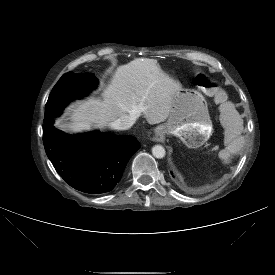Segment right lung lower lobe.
I'll use <instances>...</instances> for the list:
<instances>
[{
	"mask_svg": "<svg viewBox=\"0 0 275 275\" xmlns=\"http://www.w3.org/2000/svg\"><path fill=\"white\" fill-rule=\"evenodd\" d=\"M43 143L58 174L73 188L91 194L111 191L128 160L140 148L133 136L88 133L72 136L44 119Z\"/></svg>",
	"mask_w": 275,
	"mask_h": 275,
	"instance_id": "98d812e1",
	"label": "right lung lower lobe"
}]
</instances>
